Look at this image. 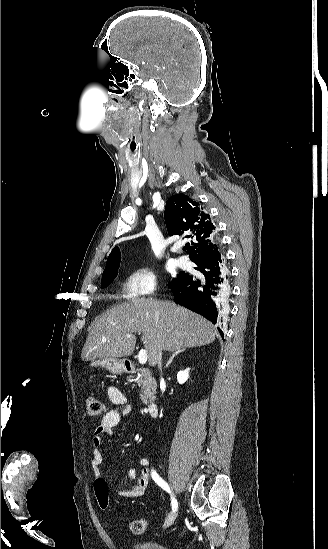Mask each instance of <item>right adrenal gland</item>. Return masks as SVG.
Listing matches in <instances>:
<instances>
[{
    "label": "right adrenal gland",
    "instance_id": "right-adrenal-gland-1",
    "mask_svg": "<svg viewBox=\"0 0 328 549\" xmlns=\"http://www.w3.org/2000/svg\"><path fill=\"white\" fill-rule=\"evenodd\" d=\"M182 351H185V349H181V351H176V353H173L172 357H170L168 363H172L174 357H176V355H179V353H182Z\"/></svg>",
    "mask_w": 328,
    "mask_h": 549
}]
</instances>
